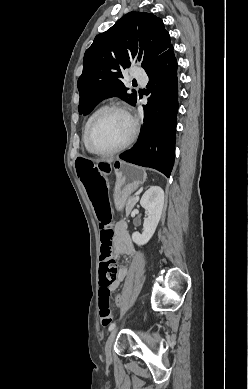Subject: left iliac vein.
<instances>
[{
  "mask_svg": "<svg viewBox=\"0 0 248 389\" xmlns=\"http://www.w3.org/2000/svg\"><path fill=\"white\" fill-rule=\"evenodd\" d=\"M117 331H118V329L114 328L111 331V333H110V335H109V337H108V339L106 341V344H105V354H106L107 361L111 360V349H112V346H113V343H114Z\"/></svg>",
  "mask_w": 248,
  "mask_h": 389,
  "instance_id": "left-iliac-vein-1",
  "label": "left iliac vein"
}]
</instances>
